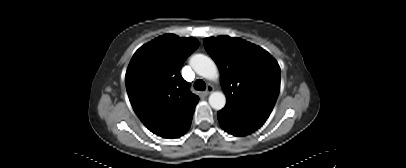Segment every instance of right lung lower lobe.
<instances>
[{
	"label": "right lung lower lobe",
	"instance_id": "obj_1",
	"mask_svg": "<svg viewBox=\"0 0 406 168\" xmlns=\"http://www.w3.org/2000/svg\"><path fill=\"white\" fill-rule=\"evenodd\" d=\"M193 113L189 116V118L183 124H181L176 129V131H174L170 134V138H179L180 136H182L183 134H185L187 132V130L189 129V127L191 125Z\"/></svg>",
	"mask_w": 406,
	"mask_h": 168
}]
</instances>
